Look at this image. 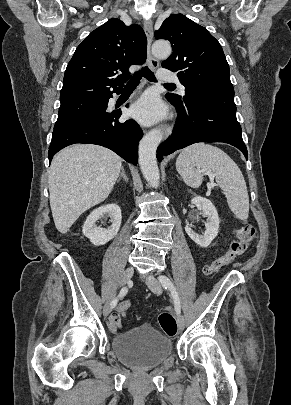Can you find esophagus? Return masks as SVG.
Returning a JSON list of instances; mask_svg holds the SVG:
<instances>
[{
    "label": "esophagus",
    "instance_id": "obj_1",
    "mask_svg": "<svg viewBox=\"0 0 291 405\" xmlns=\"http://www.w3.org/2000/svg\"><path fill=\"white\" fill-rule=\"evenodd\" d=\"M144 31L147 37V60L149 67L152 70H156L159 67V61L156 59L151 52V44L153 41V28L152 22L150 20L144 21ZM162 130L164 131L165 138L171 133V127L168 124L161 125Z\"/></svg>",
    "mask_w": 291,
    "mask_h": 405
}]
</instances>
